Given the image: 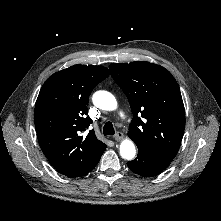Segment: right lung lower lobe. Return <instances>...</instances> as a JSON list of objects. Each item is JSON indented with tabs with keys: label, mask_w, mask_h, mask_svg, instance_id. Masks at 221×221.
<instances>
[{
	"label": "right lung lower lobe",
	"mask_w": 221,
	"mask_h": 221,
	"mask_svg": "<svg viewBox=\"0 0 221 221\" xmlns=\"http://www.w3.org/2000/svg\"><path fill=\"white\" fill-rule=\"evenodd\" d=\"M99 160H100V158L97 159V160L94 162V164H93V165L91 166V168L87 171V173L90 172V171L96 166V164L98 163Z\"/></svg>",
	"instance_id": "98d812e1"
}]
</instances>
